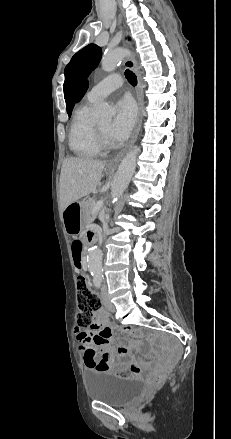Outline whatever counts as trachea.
<instances>
[{"label": "trachea", "mask_w": 231, "mask_h": 439, "mask_svg": "<svg viewBox=\"0 0 231 439\" xmlns=\"http://www.w3.org/2000/svg\"><path fill=\"white\" fill-rule=\"evenodd\" d=\"M125 76H126L128 82H129L132 86H136V85H137V77H136V75H135L132 71H130L129 69H127V70L125 71Z\"/></svg>", "instance_id": "obj_1"}]
</instances>
